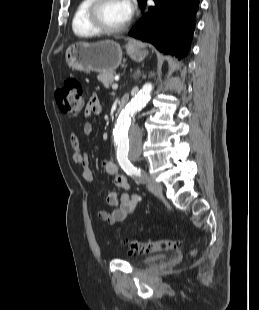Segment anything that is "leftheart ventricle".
Returning <instances> with one entry per match:
<instances>
[{
  "instance_id": "left-heart-ventricle-1",
  "label": "left heart ventricle",
  "mask_w": 259,
  "mask_h": 310,
  "mask_svg": "<svg viewBox=\"0 0 259 310\" xmlns=\"http://www.w3.org/2000/svg\"><path fill=\"white\" fill-rule=\"evenodd\" d=\"M99 17L110 28L119 27L128 20L121 0H107L100 9Z\"/></svg>"
}]
</instances>
